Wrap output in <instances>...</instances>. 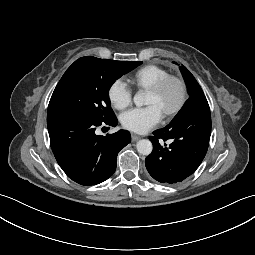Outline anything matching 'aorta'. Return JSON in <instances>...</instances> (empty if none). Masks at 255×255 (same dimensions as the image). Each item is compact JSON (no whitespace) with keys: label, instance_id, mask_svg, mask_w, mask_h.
<instances>
[{"label":"aorta","instance_id":"762f6f07","mask_svg":"<svg viewBox=\"0 0 255 255\" xmlns=\"http://www.w3.org/2000/svg\"><path fill=\"white\" fill-rule=\"evenodd\" d=\"M133 101L136 106H142L145 104V93L138 92L134 95ZM137 151L142 155H149L152 152V143L147 139L139 140L136 144Z\"/></svg>","mask_w":255,"mask_h":255}]
</instances>
